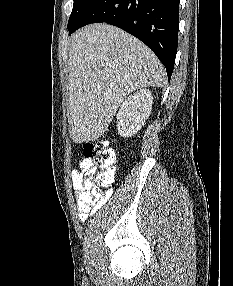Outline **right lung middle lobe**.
<instances>
[{"instance_id":"1","label":"right lung middle lobe","mask_w":233,"mask_h":286,"mask_svg":"<svg viewBox=\"0 0 233 286\" xmlns=\"http://www.w3.org/2000/svg\"><path fill=\"white\" fill-rule=\"evenodd\" d=\"M91 0H74L72 13L70 15L67 28H71L82 15Z\"/></svg>"}]
</instances>
